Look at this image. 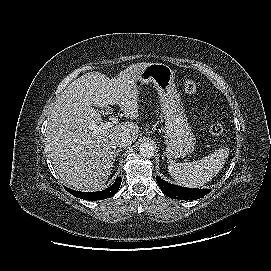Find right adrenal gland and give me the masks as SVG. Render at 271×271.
Masks as SVG:
<instances>
[{
    "mask_svg": "<svg viewBox=\"0 0 271 271\" xmlns=\"http://www.w3.org/2000/svg\"><path fill=\"white\" fill-rule=\"evenodd\" d=\"M120 152H121V149H118V150L115 152L113 161H115L116 157L119 155Z\"/></svg>",
    "mask_w": 271,
    "mask_h": 271,
    "instance_id": "right-adrenal-gland-1",
    "label": "right adrenal gland"
}]
</instances>
